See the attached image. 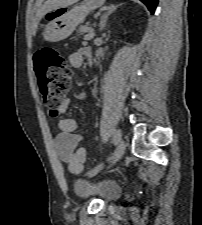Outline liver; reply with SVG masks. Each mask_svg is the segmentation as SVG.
<instances>
[{
	"mask_svg": "<svg viewBox=\"0 0 202 225\" xmlns=\"http://www.w3.org/2000/svg\"><path fill=\"white\" fill-rule=\"evenodd\" d=\"M79 0H47L36 12V19L33 25V35H35L40 20L51 11L58 8L68 7Z\"/></svg>",
	"mask_w": 202,
	"mask_h": 225,
	"instance_id": "6515ba94",
	"label": "liver"
}]
</instances>
